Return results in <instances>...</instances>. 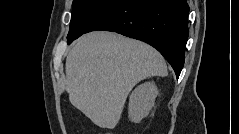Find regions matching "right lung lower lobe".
Here are the masks:
<instances>
[{
    "label": "right lung lower lobe",
    "instance_id": "1",
    "mask_svg": "<svg viewBox=\"0 0 239 134\" xmlns=\"http://www.w3.org/2000/svg\"><path fill=\"white\" fill-rule=\"evenodd\" d=\"M188 13L186 0H118L83 33L106 30L144 41L164 56L178 78L189 33Z\"/></svg>",
    "mask_w": 239,
    "mask_h": 134
}]
</instances>
